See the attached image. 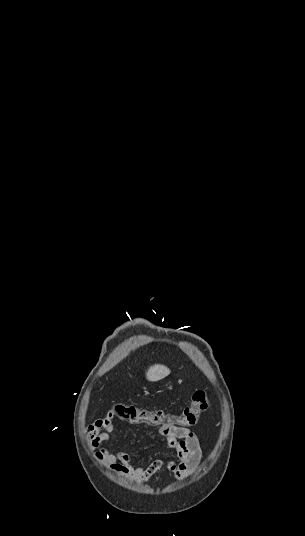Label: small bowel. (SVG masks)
Wrapping results in <instances>:
<instances>
[{"label": "small bowel", "instance_id": "1", "mask_svg": "<svg viewBox=\"0 0 305 536\" xmlns=\"http://www.w3.org/2000/svg\"><path fill=\"white\" fill-rule=\"evenodd\" d=\"M115 418L114 411H103L101 418L95 419L91 426L85 427L91 453L108 470L120 477L146 483L163 468L173 473L179 481L189 477L197 468L202 457V449L197 435L188 427L176 424H173V427H159V435L164 438L166 446L174 450L175 458L155 459L144 467L130 454L110 450L111 434L107 431L109 426H115Z\"/></svg>", "mask_w": 305, "mask_h": 536}]
</instances>
